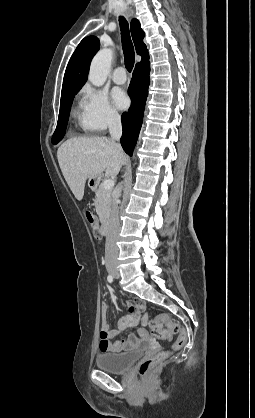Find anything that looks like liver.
<instances>
[{
	"label": "liver",
	"mask_w": 255,
	"mask_h": 418,
	"mask_svg": "<svg viewBox=\"0 0 255 418\" xmlns=\"http://www.w3.org/2000/svg\"><path fill=\"white\" fill-rule=\"evenodd\" d=\"M62 174L78 201L84 196L88 178L104 171L116 177L127 157L119 144L107 137H77L65 141L57 151Z\"/></svg>",
	"instance_id": "1"
}]
</instances>
